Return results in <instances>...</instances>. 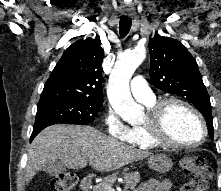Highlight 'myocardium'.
<instances>
[{
  "instance_id": "1",
  "label": "myocardium",
  "mask_w": 221,
  "mask_h": 191,
  "mask_svg": "<svg viewBox=\"0 0 221 191\" xmlns=\"http://www.w3.org/2000/svg\"><path fill=\"white\" fill-rule=\"evenodd\" d=\"M175 106L188 110L196 117L202 130V137L199 141L194 143H182L170 138L167 119L170 110ZM143 125L148 130L151 139L158 146L163 147L195 148L203 144L208 135L207 125L202 114L193 105L178 98H166L157 101L150 108L147 119Z\"/></svg>"
}]
</instances>
